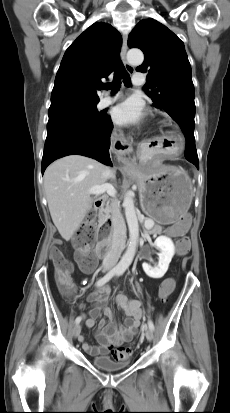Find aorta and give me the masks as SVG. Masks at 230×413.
<instances>
[{
	"instance_id": "1",
	"label": "aorta",
	"mask_w": 230,
	"mask_h": 413,
	"mask_svg": "<svg viewBox=\"0 0 230 413\" xmlns=\"http://www.w3.org/2000/svg\"><path fill=\"white\" fill-rule=\"evenodd\" d=\"M127 60L133 65H140L144 60V55L139 49H131L127 53ZM133 196L134 193L132 191H127L124 194L123 200V207L129 228L130 241L125 254L118 264V267L122 270H126L132 263L139 239V224L134 206Z\"/></svg>"
}]
</instances>
